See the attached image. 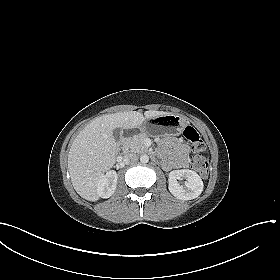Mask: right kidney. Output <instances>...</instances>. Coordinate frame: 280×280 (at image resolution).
<instances>
[{
	"instance_id": "1",
	"label": "right kidney",
	"mask_w": 280,
	"mask_h": 280,
	"mask_svg": "<svg viewBox=\"0 0 280 280\" xmlns=\"http://www.w3.org/2000/svg\"><path fill=\"white\" fill-rule=\"evenodd\" d=\"M118 176L113 170L108 171L97 180V193L102 198H109L116 190Z\"/></svg>"
}]
</instances>
